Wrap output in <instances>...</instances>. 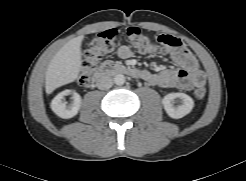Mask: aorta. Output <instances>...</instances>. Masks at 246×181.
<instances>
[{
  "mask_svg": "<svg viewBox=\"0 0 246 181\" xmlns=\"http://www.w3.org/2000/svg\"><path fill=\"white\" fill-rule=\"evenodd\" d=\"M113 81L116 85H123L126 81V78L123 74H117L114 76Z\"/></svg>",
  "mask_w": 246,
  "mask_h": 181,
  "instance_id": "1",
  "label": "aorta"
}]
</instances>
